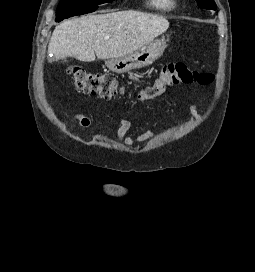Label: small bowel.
<instances>
[{
    "mask_svg": "<svg viewBox=\"0 0 255 272\" xmlns=\"http://www.w3.org/2000/svg\"><path fill=\"white\" fill-rule=\"evenodd\" d=\"M199 116L198 110L195 105H190L186 113V124ZM74 120L78 122L81 128H87L90 125V119L84 114H77ZM131 127V122L126 118H121L119 127L117 129L116 138L119 142L126 146H133L137 142L148 141L154 136V131L148 129L143 133L137 135H127Z\"/></svg>",
    "mask_w": 255,
    "mask_h": 272,
    "instance_id": "1",
    "label": "small bowel"
}]
</instances>
